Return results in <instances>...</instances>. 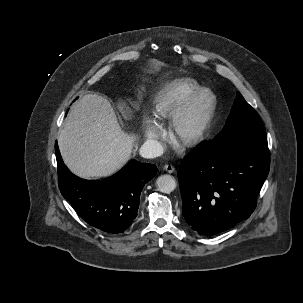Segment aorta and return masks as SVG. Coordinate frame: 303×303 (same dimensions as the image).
<instances>
[{
    "label": "aorta",
    "mask_w": 303,
    "mask_h": 303,
    "mask_svg": "<svg viewBox=\"0 0 303 303\" xmlns=\"http://www.w3.org/2000/svg\"><path fill=\"white\" fill-rule=\"evenodd\" d=\"M156 186L160 192L170 193L176 188V180L171 175H161L156 180Z\"/></svg>",
    "instance_id": "aorta-1"
}]
</instances>
